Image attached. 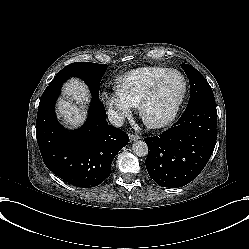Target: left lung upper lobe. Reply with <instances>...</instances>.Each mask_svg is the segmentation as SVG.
I'll list each match as a JSON object with an SVG mask.
<instances>
[{
  "label": "left lung upper lobe",
  "instance_id": "left-lung-upper-lobe-1",
  "mask_svg": "<svg viewBox=\"0 0 249 249\" xmlns=\"http://www.w3.org/2000/svg\"><path fill=\"white\" fill-rule=\"evenodd\" d=\"M181 67L185 71L190 83L191 95L188 106L203 100H214L213 91L201 73L189 64H181Z\"/></svg>",
  "mask_w": 249,
  "mask_h": 249
}]
</instances>
